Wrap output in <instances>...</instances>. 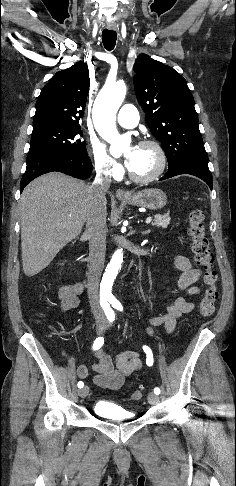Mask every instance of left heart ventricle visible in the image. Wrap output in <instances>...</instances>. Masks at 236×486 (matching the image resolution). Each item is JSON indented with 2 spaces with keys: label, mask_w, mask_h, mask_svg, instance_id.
<instances>
[{
  "label": "left heart ventricle",
  "mask_w": 236,
  "mask_h": 486,
  "mask_svg": "<svg viewBox=\"0 0 236 486\" xmlns=\"http://www.w3.org/2000/svg\"><path fill=\"white\" fill-rule=\"evenodd\" d=\"M130 149L126 151L128 152ZM158 166V154L153 147L138 146L133 165L130 170L138 176H147L155 171Z\"/></svg>",
  "instance_id": "b2bd125f"
}]
</instances>
